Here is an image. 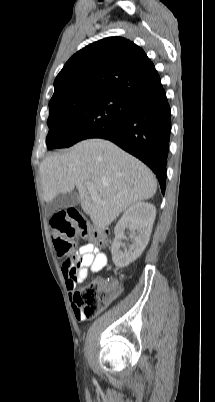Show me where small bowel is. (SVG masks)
I'll return each mask as SVG.
<instances>
[{
  "mask_svg": "<svg viewBox=\"0 0 215 402\" xmlns=\"http://www.w3.org/2000/svg\"><path fill=\"white\" fill-rule=\"evenodd\" d=\"M72 257L79 262L76 271L72 273L70 268L64 266V263L62 271L66 281V287L69 291V297L74 301L76 284L84 282L91 272H96L104 268L107 264V256L94 244L87 243L81 246ZM111 285L118 293L120 290L118 284L113 282ZM72 305L76 319L78 321L85 320L86 316L80 312L75 302Z\"/></svg>",
  "mask_w": 215,
  "mask_h": 402,
  "instance_id": "1",
  "label": "small bowel"
}]
</instances>
